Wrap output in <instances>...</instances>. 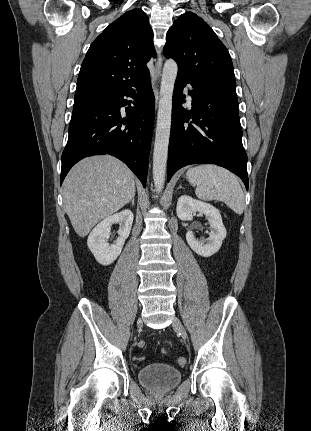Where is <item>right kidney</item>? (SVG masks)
I'll return each instance as SVG.
<instances>
[{"mask_svg":"<svg viewBox=\"0 0 311 431\" xmlns=\"http://www.w3.org/2000/svg\"><path fill=\"white\" fill-rule=\"evenodd\" d=\"M112 223H120L118 229L119 237L115 243H108ZM133 223V214L130 210H122L119 214L105 217L102 219L91 233L88 235L87 245L92 251L95 259L102 265H109L117 259L122 251L126 237H129L130 229Z\"/></svg>","mask_w":311,"mask_h":431,"instance_id":"1","label":"right kidney"}]
</instances>
